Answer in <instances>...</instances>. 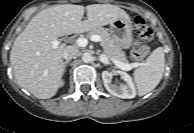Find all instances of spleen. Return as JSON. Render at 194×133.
Wrapping results in <instances>:
<instances>
[{
  "mask_svg": "<svg viewBox=\"0 0 194 133\" xmlns=\"http://www.w3.org/2000/svg\"><path fill=\"white\" fill-rule=\"evenodd\" d=\"M164 67L165 56L163 48L158 47L150 54L145 63L133 73L139 96L149 93L160 83Z\"/></svg>",
  "mask_w": 194,
  "mask_h": 133,
  "instance_id": "3e777b00",
  "label": "spleen"
}]
</instances>
